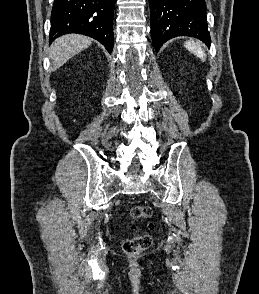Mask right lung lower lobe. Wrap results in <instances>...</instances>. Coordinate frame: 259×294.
Returning a JSON list of instances; mask_svg holds the SVG:
<instances>
[{"label":"right lung lower lobe","instance_id":"1","mask_svg":"<svg viewBox=\"0 0 259 294\" xmlns=\"http://www.w3.org/2000/svg\"><path fill=\"white\" fill-rule=\"evenodd\" d=\"M115 0H55L51 12L50 43L57 37L78 33L113 49Z\"/></svg>","mask_w":259,"mask_h":294}]
</instances>
